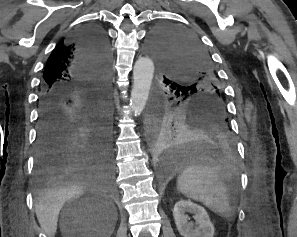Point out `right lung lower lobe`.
Listing matches in <instances>:
<instances>
[{
	"mask_svg": "<svg viewBox=\"0 0 297 237\" xmlns=\"http://www.w3.org/2000/svg\"><path fill=\"white\" fill-rule=\"evenodd\" d=\"M76 71L87 89L71 96L61 88L41 92L37 127L36 175L69 173L111 175L113 149L107 110L109 42L99 26L72 36Z\"/></svg>",
	"mask_w": 297,
	"mask_h": 237,
	"instance_id": "obj_1",
	"label": "right lung lower lobe"
}]
</instances>
